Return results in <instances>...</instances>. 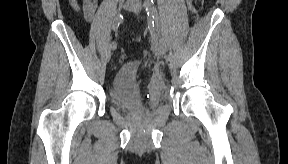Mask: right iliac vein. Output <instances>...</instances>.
<instances>
[{
  "instance_id": "obj_1",
  "label": "right iliac vein",
  "mask_w": 288,
  "mask_h": 164,
  "mask_svg": "<svg viewBox=\"0 0 288 164\" xmlns=\"http://www.w3.org/2000/svg\"><path fill=\"white\" fill-rule=\"evenodd\" d=\"M119 19H118V17H116L115 18V22H117ZM111 50H109L108 52H107V60H109L110 58H111Z\"/></svg>"
}]
</instances>
